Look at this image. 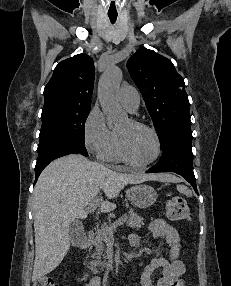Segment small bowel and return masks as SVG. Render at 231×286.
<instances>
[{
    "mask_svg": "<svg viewBox=\"0 0 231 286\" xmlns=\"http://www.w3.org/2000/svg\"><path fill=\"white\" fill-rule=\"evenodd\" d=\"M148 230L154 238H163L170 247L169 259L157 257L150 261L144 268L141 275V286H185L182 279L185 273V265L179 259L181 252L180 237L177 230L170 223L163 219H154L148 225ZM130 243L133 247H139L142 237L138 234L130 236ZM162 270V276L154 285L151 279L152 274L157 270ZM85 286H100V278L89 279Z\"/></svg>",
    "mask_w": 231,
    "mask_h": 286,
    "instance_id": "obj_1",
    "label": "small bowel"
}]
</instances>
